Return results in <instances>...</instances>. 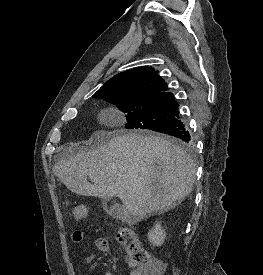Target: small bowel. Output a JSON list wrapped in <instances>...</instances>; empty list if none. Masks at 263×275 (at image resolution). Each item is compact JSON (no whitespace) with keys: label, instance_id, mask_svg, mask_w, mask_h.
Returning <instances> with one entry per match:
<instances>
[{"label":"small bowel","instance_id":"c3829d8e","mask_svg":"<svg viewBox=\"0 0 263 275\" xmlns=\"http://www.w3.org/2000/svg\"><path fill=\"white\" fill-rule=\"evenodd\" d=\"M84 239V233L80 230L74 231L71 235V242L73 243H80ZM96 248L101 252H108L110 250V245L105 238L99 237L95 240ZM129 265L131 267V272L129 275H142L141 271L138 270L134 265H132L129 261ZM96 266L94 261V257H89L87 261L86 271L90 274ZM103 275H112L111 272L106 271Z\"/></svg>","mask_w":263,"mask_h":275}]
</instances>
